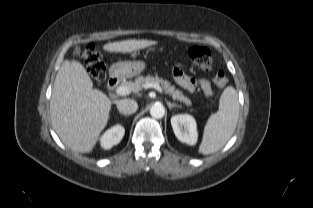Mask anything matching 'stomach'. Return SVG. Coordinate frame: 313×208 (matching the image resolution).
I'll return each instance as SVG.
<instances>
[{
    "label": "stomach",
    "mask_w": 313,
    "mask_h": 208,
    "mask_svg": "<svg viewBox=\"0 0 313 208\" xmlns=\"http://www.w3.org/2000/svg\"><path fill=\"white\" fill-rule=\"evenodd\" d=\"M145 67L146 64L143 61H124L114 64L111 71L117 77L131 78L143 72Z\"/></svg>",
    "instance_id": "1"
}]
</instances>
